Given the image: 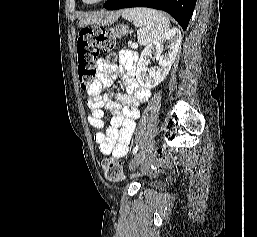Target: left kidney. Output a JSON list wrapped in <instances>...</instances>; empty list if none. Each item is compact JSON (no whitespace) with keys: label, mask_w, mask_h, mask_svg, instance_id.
Returning <instances> with one entry per match:
<instances>
[{"label":"left kidney","mask_w":257,"mask_h":237,"mask_svg":"<svg viewBox=\"0 0 257 237\" xmlns=\"http://www.w3.org/2000/svg\"><path fill=\"white\" fill-rule=\"evenodd\" d=\"M181 39V31L173 28L144 48L136 68V79L141 86L151 89L165 79L178 53ZM164 44H167L168 52L162 54ZM153 54L159 66L149 69L148 65Z\"/></svg>","instance_id":"obj_1"}]
</instances>
